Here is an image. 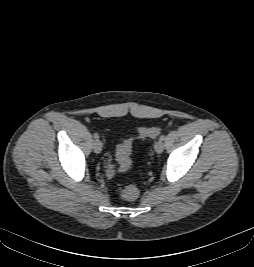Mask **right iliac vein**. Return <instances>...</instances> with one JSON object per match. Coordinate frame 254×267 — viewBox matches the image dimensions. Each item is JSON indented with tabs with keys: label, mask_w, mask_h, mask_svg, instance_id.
Instances as JSON below:
<instances>
[{
	"label": "right iliac vein",
	"mask_w": 254,
	"mask_h": 267,
	"mask_svg": "<svg viewBox=\"0 0 254 267\" xmlns=\"http://www.w3.org/2000/svg\"><path fill=\"white\" fill-rule=\"evenodd\" d=\"M93 149H94V152L95 153H100L101 150H102V143L100 140H96L94 143H93Z\"/></svg>",
	"instance_id": "1"
}]
</instances>
